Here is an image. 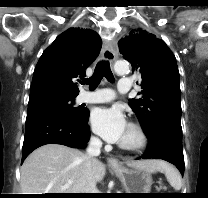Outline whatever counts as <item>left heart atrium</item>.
I'll list each match as a JSON object with an SVG mask.
<instances>
[{"label":"left heart atrium","instance_id":"left-heart-atrium-1","mask_svg":"<svg viewBox=\"0 0 208 198\" xmlns=\"http://www.w3.org/2000/svg\"><path fill=\"white\" fill-rule=\"evenodd\" d=\"M90 122L94 132L111 143L119 142L128 127L125 115L118 106L94 109Z\"/></svg>","mask_w":208,"mask_h":198}]
</instances>
